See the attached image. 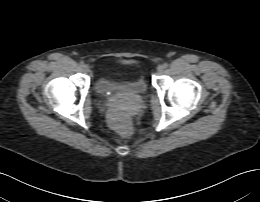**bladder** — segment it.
Returning a JSON list of instances; mask_svg holds the SVG:
<instances>
[{
  "label": "bladder",
  "mask_w": 260,
  "mask_h": 202,
  "mask_svg": "<svg viewBox=\"0 0 260 202\" xmlns=\"http://www.w3.org/2000/svg\"><path fill=\"white\" fill-rule=\"evenodd\" d=\"M95 87L101 94L124 92L142 97L147 93V83L142 76L130 79H113L106 75H101L96 79Z\"/></svg>",
  "instance_id": "bladder-1"
}]
</instances>
